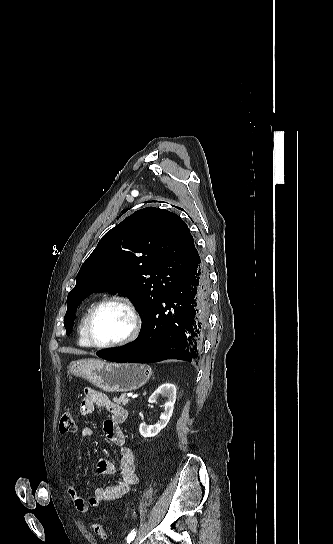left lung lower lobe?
<instances>
[{"label":"left lung lower lobe","mask_w":333,"mask_h":544,"mask_svg":"<svg viewBox=\"0 0 333 544\" xmlns=\"http://www.w3.org/2000/svg\"><path fill=\"white\" fill-rule=\"evenodd\" d=\"M209 281L204 262L190 267L167 296L145 319L140 335L130 344L101 350L109 361L158 362L165 359L195 361L207 324Z\"/></svg>","instance_id":"obj_1"}]
</instances>
